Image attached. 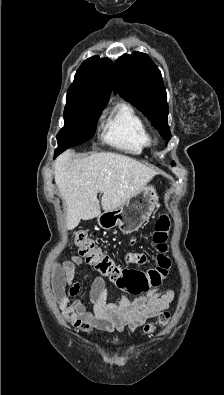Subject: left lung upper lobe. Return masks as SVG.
<instances>
[{"mask_svg": "<svg viewBox=\"0 0 224 395\" xmlns=\"http://www.w3.org/2000/svg\"><path fill=\"white\" fill-rule=\"evenodd\" d=\"M114 88L151 120L167 142L170 140L166 90L160 70L147 54H124L115 62Z\"/></svg>", "mask_w": 224, "mask_h": 395, "instance_id": "5c2ea615", "label": "left lung upper lobe"}]
</instances>
